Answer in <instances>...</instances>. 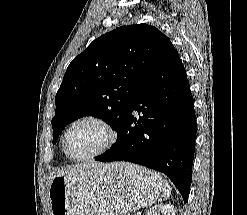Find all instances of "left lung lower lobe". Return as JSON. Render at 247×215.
Listing matches in <instances>:
<instances>
[{
    "label": "left lung lower lobe",
    "mask_w": 247,
    "mask_h": 215,
    "mask_svg": "<svg viewBox=\"0 0 247 215\" xmlns=\"http://www.w3.org/2000/svg\"><path fill=\"white\" fill-rule=\"evenodd\" d=\"M140 115L136 118L133 112ZM196 117L185 68L170 43L140 84L101 162L127 161L166 174L187 202L192 181Z\"/></svg>",
    "instance_id": "1"
}]
</instances>
